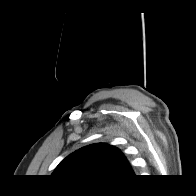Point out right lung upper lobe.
<instances>
[{
	"label": "right lung upper lobe",
	"instance_id": "right-lung-upper-lobe-1",
	"mask_svg": "<svg viewBox=\"0 0 196 196\" xmlns=\"http://www.w3.org/2000/svg\"><path fill=\"white\" fill-rule=\"evenodd\" d=\"M52 175L89 182H105L133 177L134 173L118 148L106 143H97L67 156Z\"/></svg>",
	"mask_w": 196,
	"mask_h": 196
}]
</instances>
